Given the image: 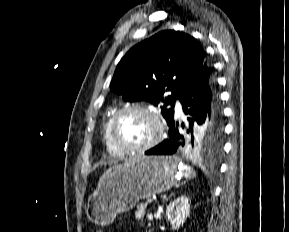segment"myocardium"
Here are the masks:
<instances>
[{"mask_svg":"<svg viewBox=\"0 0 289 232\" xmlns=\"http://www.w3.org/2000/svg\"><path fill=\"white\" fill-rule=\"evenodd\" d=\"M128 111H141L147 114L155 124V134L150 141L140 146H127L122 144L116 136V126L119 117ZM110 138L113 144L122 152L126 154H138L145 153L154 147H156L163 139L164 136V125L159 114L150 106L144 104H129L119 108L112 116L109 128Z\"/></svg>","mask_w":289,"mask_h":232,"instance_id":"myocardium-1","label":"myocardium"}]
</instances>
